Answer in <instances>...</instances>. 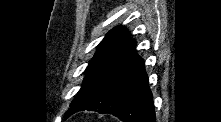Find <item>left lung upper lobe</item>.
Returning <instances> with one entry per match:
<instances>
[{
	"label": "left lung upper lobe",
	"mask_w": 221,
	"mask_h": 122,
	"mask_svg": "<svg viewBox=\"0 0 221 122\" xmlns=\"http://www.w3.org/2000/svg\"><path fill=\"white\" fill-rule=\"evenodd\" d=\"M129 42L128 30L121 26L113 28L106 34L86 68L84 83L66 116L76 111L95 94L123 56Z\"/></svg>",
	"instance_id": "left-lung-upper-lobe-1"
}]
</instances>
